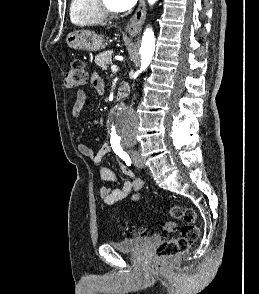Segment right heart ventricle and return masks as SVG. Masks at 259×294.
<instances>
[{
    "instance_id": "e07e8e85",
    "label": "right heart ventricle",
    "mask_w": 259,
    "mask_h": 294,
    "mask_svg": "<svg viewBox=\"0 0 259 294\" xmlns=\"http://www.w3.org/2000/svg\"><path fill=\"white\" fill-rule=\"evenodd\" d=\"M70 20L76 26L97 25L103 22L94 0H71Z\"/></svg>"
}]
</instances>
